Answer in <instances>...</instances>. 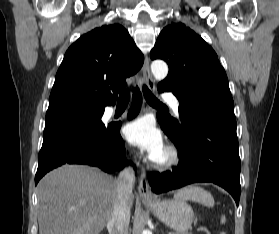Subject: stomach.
I'll use <instances>...</instances> for the list:
<instances>
[{
  "label": "stomach",
  "instance_id": "obj_1",
  "mask_svg": "<svg viewBox=\"0 0 279 234\" xmlns=\"http://www.w3.org/2000/svg\"><path fill=\"white\" fill-rule=\"evenodd\" d=\"M155 216L178 234H184L194 219L192 208L181 199L144 201Z\"/></svg>",
  "mask_w": 279,
  "mask_h": 234
}]
</instances>
